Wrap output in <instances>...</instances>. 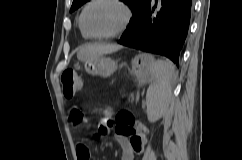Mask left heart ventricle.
<instances>
[{
  "instance_id": "b2bd125f",
  "label": "left heart ventricle",
  "mask_w": 242,
  "mask_h": 160,
  "mask_svg": "<svg viewBox=\"0 0 242 160\" xmlns=\"http://www.w3.org/2000/svg\"><path fill=\"white\" fill-rule=\"evenodd\" d=\"M123 20L122 9L109 1H101L91 5L84 17L86 28L94 34L113 32L122 25Z\"/></svg>"
}]
</instances>
